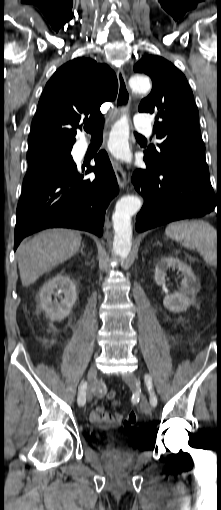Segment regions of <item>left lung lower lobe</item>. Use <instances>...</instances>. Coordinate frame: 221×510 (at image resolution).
<instances>
[{
  "mask_svg": "<svg viewBox=\"0 0 221 510\" xmlns=\"http://www.w3.org/2000/svg\"><path fill=\"white\" fill-rule=\"evenodd\" d=\"M146 170L134 172L132 182L144 197L137 214L138 232L172 221L204 216L217 207L218 234L221 239V194L215 195L209 176L175 168H156L147 152Z\"/></svg>",
  "mask_w": 221,
  "mask_h": 510,
  "instance_id": "left-lung-lower-lobe-1",
  "label": "left lung lower lobe"
}]
</instances>
